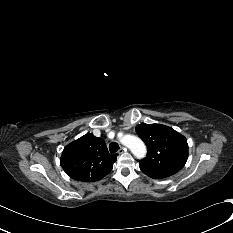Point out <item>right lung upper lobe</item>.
Returning a JSON list of instances; mask_svg holds the SVG:
<instances>
[{"mask_svg": "<svg viewBox=\"0 0 233 233\" xmlns=\"http://www.w3.org/2000/svg\"><path fill=\"white\" fill-rule=\"evenodd\" d=\"M116 157L108 152L103 139L87 133L64 148L60 161L72 179L94 182L112 170Z\"/></svg>", "mask_w": 233, "mask_h": 233, "instance_id": "right-lung-upper-lobe-1", "label": "right lung upper lobe"}]
</instances>
